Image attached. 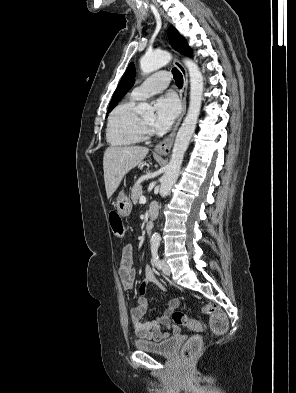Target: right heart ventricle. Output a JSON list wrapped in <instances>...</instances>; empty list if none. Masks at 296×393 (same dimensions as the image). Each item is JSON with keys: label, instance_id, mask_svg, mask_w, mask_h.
<instances>
[{"label": "right heart ventricle", "instance_id": "e07e8e85", "mask_svg": "<svg viewBox=\"0 0 296 393\" xmlns=\"http://www.w3.org/2000/svg\"><path fill=\"white\" fill-rule=\"evenodd\" d=\"M106 139L115 147H129L143 140L136 113V100L130 97L112 110L108 118Z\"/></svg>", "mask_w": 296, "mask_h": 393}]
</instances>
